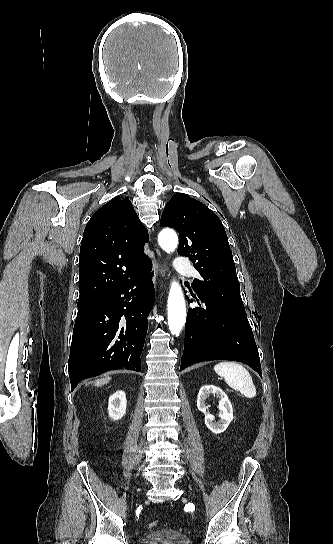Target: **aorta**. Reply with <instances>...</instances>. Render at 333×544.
I'll list each match as a JSON object with an SVG mask.
<instances>
[{"instance_id":"aorta-1","label":"aorta","mask_w":333,"mask_h":544,"mask_svg":"<svg viewBox=\"0 0 333 544\" xmlns=\"http://www.w3.org/2000/svg\"><path fill=\"white\" fill-rule=\"evenodd\" d=\"M161 248L167 253L173 252L178 244V237L171 229H163L158 235ZM186 306L181 286L172 282L168 296V326L171 334L178 336L185 324Z\"/></svg>"}]
</instances>
